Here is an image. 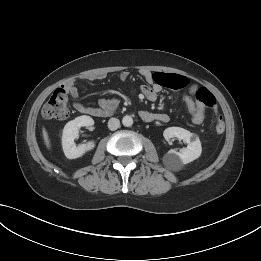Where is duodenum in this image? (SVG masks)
<instances>
[{"mask_svg":"<svg viewBox=\"0 0 261 261\" xmlns=\"http://www.w3.org/2000/svg\"><path fill=\"white\" fill-rule=\"evenodd\" d=\"M106 113L107 112L99 111V112L95 113V116H102V115H105ZM146 120H148V118Z\"/></svg>","mask_w":261,"mask_h":261,"instance_id":"obj_1","label":"duodenum"}]
</instances>
